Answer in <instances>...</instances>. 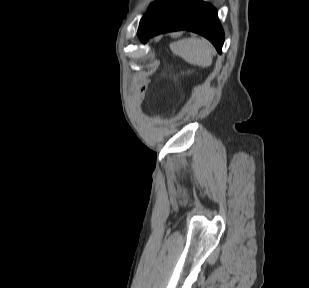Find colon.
<instances>
[{
    "instance_id": "obj_1",
    "label": "colon",
    "mask_w": 309,
    "mask_h": 288,
    "mask_svg": "<svg viewBox=\"0 0 309 288\" xmlns=\"http://www.w3.org/2000/svg\"><path fill=\"white\" fill-rule=\"evenodd\" d=\"M148 86V81H143L138 87V97H142Z\"/></svg>"
}]
</instances>
